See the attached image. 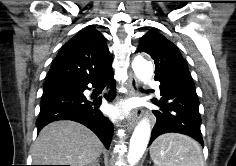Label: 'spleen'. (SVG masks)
<instances>
[{
	"label": "spleen",
	"instance_id": "1",
	"mask_svg": "<svg viewBox=\"0 0 236 166\" xmlns=\"http://www.w3.org/2000/svg\"><path fill=\"white\" fill-rule=\"evenodd\" d=\"M150 156L157 166H204L198 143L182 134L158 137L150 148Z\"/></svg>",
	"mask_w": 236,
	"mask_h": 166
}]
</instances>
